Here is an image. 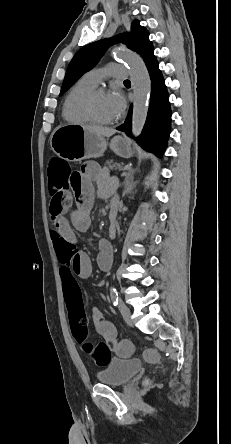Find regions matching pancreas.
Wrapping results in <instances>:
<instances>
[{
    "label": "pancreas",
    "mask_w": 231,
    "mask_h": 444,
    "mask_svg": "<svg viewBox=\"0 0 231 444\" xmlns=\"http://www.w3.org/2000/svg\"><path fill=\"white\" fill-rule=\"evenodd\" d=\"M106 163L111 170L117 169L120 166V164H118L117 162H114L113 160H108Z\"/></svg>",
    "instance_id": "pancreas-1"
}]
</instances>
